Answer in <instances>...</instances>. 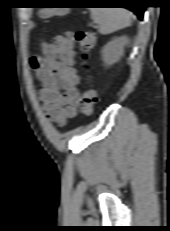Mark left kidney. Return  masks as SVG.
<instances>
[{
	"instance_id": "1",
	"label": "left kidney",
	"mask_w": 170,
	"mask_h": 231,
	"mask_svg": "<svg viewBox=\"0 0 170 231\" xmlns=\"http://www.w3.org/2000/svg\"><path fill=\"white\" fill-rule=\"evenodd\" d=\"M128 37H117L107 43L102 49V58L107 66L117 62L124 53V47L128 44Z\"/></svg>"
}]
</instances>
